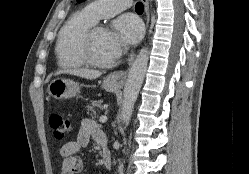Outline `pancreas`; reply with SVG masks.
I'll use <instances>...</instances> for the list:
<instances>
[{
    "instance_id": "cf45deb5",
    "label": "pancreas",
    "mask_w": 249,
    "mask_h": 174,
    "mask_svg": "<svg viewBox=\"0 0 249 174\" xmlns=\"http://www.w3.org/2000/svg\"><path fill=\"white\" fill-rule=\"evenodd\" d=\"M103 101L102 100H98V101H92L91 104H88L86 106L88 112L91 111L93 113H96V109H104L103 105H102Z\"/></svg>"
}]
</instances>
